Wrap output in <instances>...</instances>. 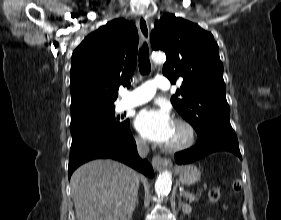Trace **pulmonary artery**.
Masks as SVG:
<instances>
[{"label": "pulmonary artery", "instance_id": "e3ab8cb5", "mask_svg": "<svg viewBox=\"0 0 281 220\" xmlns=\"http://www.w3.org/2000/svg\"><path fill=\"white\" fill-rule=\"evenodd\" d=\"M169 86L170 84L166 77L156 76L153 80L146 81L131 91L123 92L121 107L131 108L142 105L150 101L158 89L167 90Z\"/></svg>", "mask_w": 281, "mask_h": 220}]
</instances>
